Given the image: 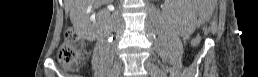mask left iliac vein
I'll return each instance as SVG.
<instances>
[{"mask_svg":"<svg viewBox=\"0 0 258 77\" xmlns=\"http://www.w3.org/2000/svg\"><path fill=\"white\" fill-rule=\"evenodd\" d=\"M145 68L152 77H164V72L151 60H146Z\"/></svg>","mask_w":258,"mask_h":77,"instance_id":"obj_1","label":"left iliac vein"}]
</instances>
